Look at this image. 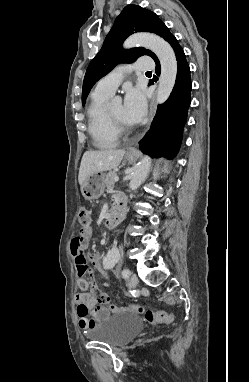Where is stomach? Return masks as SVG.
I'll return each instance as SVG.
<instances>
[{
  "label": "stomach",
  "instance_id": "stomach-1",
  "mask_svg": "<svg viewBox=\"0 0 249 382\" xmlns=\"http://www.w3.org/2000/svg\"><path fill=\"white\" fill-rule=\"evenodd\" d=\"M128 162L132 163L136 161V156L126 155ZM105 180V174L101 172H95L89 175L81 186V193L86 200L98 199L104 192L103 182Z\"/></svg>",
  "mask_w": 249,
  "mask_h": 382
}]
</instances>
